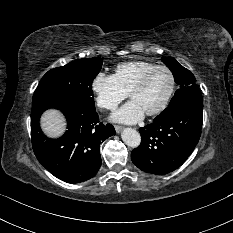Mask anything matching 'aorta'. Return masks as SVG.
Listing matches in <instances>:
<instances>
[{"label": "aorta", "instance_id": "aorta-1", "mask_svg": "<svg viewBox=\"0 0 233 233\" xmlns=\"http://www.w3.org/2000/svg\"><path fill=\"white\" fill-rule=\"evenodd\" d=\"M121 137L123 142L131 148H137L141 143L140 133L133 128H125Z\"/></svg>", "mask_w": 233, "mask_h": 233}]
</instances>
